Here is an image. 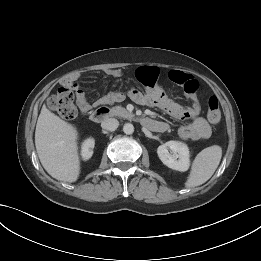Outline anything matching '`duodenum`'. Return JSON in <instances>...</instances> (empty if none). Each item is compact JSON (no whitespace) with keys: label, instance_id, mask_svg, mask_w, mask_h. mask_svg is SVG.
<instances>
[{"label":"duodenum","instance_id":"1","mask_svg":"<svg viewBox=\"0 0 261 261\" xmlns=\"http://www.w3.org/2000/svg\"><path fill=\"white\" fill-rule=\"evenodd\" d=\"M111 114V110L109 107L107 106H100L98 107L93 113H92V120L95 122H102L104 121L106 118H108ZM140 122L143 126H145L146 128L153 130V131H164L166 129V126L161 123L158 122L156 120H153L151 118L148 117H143L140 119Z\"/></svg>","mask_w":261,"mask_h":261}]
</instances>
